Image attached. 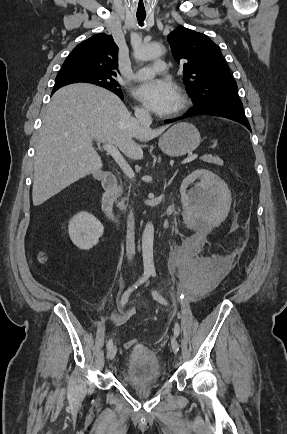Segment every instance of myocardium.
Masks as SVG:
<instances>
[{
    "mask_svg": "<svg viewBox=\"0 0 287 434\" xmlns=\"http://www.w3.org/2000/svg\"><path fill=\"white\" fill-rule=\"evenodd\" d=\"M189 104V100L186 96V94L183 91L179 92V102L177 107L171 112L170 115L172 116H176L181 114L183 111L186 110V108L188 107Z\"/></svg>",
    "mask_w": 287,
    "mask_h": 434,
    "instance_id": "obj_1",
    "label": "myocardium"
}]
</instances>
